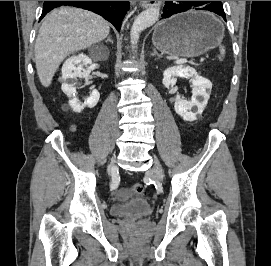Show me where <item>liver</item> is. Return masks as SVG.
<instances>
[{"label":"liver","mask_w":271,"mask_h":266,"mask_svg":"<svg viewBox=\"0 0 271 266\" xmlns=\"http://www.w3.org/2000/svg\"><path fill=\"white\" fill-rule=\"evenodd\" d=\"M109 32V23L93 12L71 7L53 10L43 21L35 44L41 84L48 87L68 55L104 40Z\"/></svg>","instance_id":"1"}]
</instances>
